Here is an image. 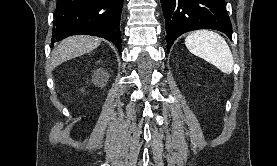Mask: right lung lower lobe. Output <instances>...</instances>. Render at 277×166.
<instances>
[{
	"instance_id": "1",
	"label": "right lung lower lobe",
	"mask_w": 277,
	"mask_h": 166,
	"mask_svg": "<svg viewBox=\"0 0 277 166\" xmlns=\"http://www.w3.org/2000/svg\"><path fill=\"white\" fill-rule=\"evenodd\" d=\"M123 0H58L52 42L75 34L105 38L121 52Z\"/></svg>"
}]
</instances>
